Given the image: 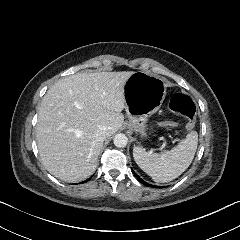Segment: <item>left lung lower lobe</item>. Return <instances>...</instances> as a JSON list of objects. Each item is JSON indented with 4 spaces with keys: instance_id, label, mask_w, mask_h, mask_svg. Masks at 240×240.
Instances as JSON below:
<instances>
[{
    "instance_id": "0a47b994",
    "label": "left lung lower lobe",
    "mask_w": 240,
    "mask_h": 240,
    "mask_svg": "<svg viewBox=\"0 0 240 240\" xmlns=\"http://www.w3.org/2000/svg\"><path fill=\"white\" fill-rule=\"evenodd\" d=\"M133 174L135 175V177L144 185L148 186V187H154L153 185H150L148 183H146L143 179H141L135 172H133Z\"/></svg>"
}]
</instances>
